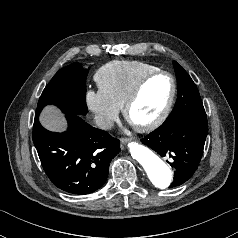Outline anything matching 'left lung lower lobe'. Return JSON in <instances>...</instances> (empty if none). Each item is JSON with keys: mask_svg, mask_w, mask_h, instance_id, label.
Masks as SVG:
<instances>
[{"mask_svg": "<svg viewBox=\"0 0 238 238\" xmlns=\"http://www.w3.org/2000/svg\"><path fill=\"white\" fill-rule=\"evenodd\" d=\"M208 132L206 114H183L169 119L141 139L162 157L170 158L174 169L170 188L186 182L196 171Z\"/></svg>", "mask_w": 238, "mask_h": 238, "instance_id": "0a47b994", "label": "left lung lower lobe"}]
</instances>
